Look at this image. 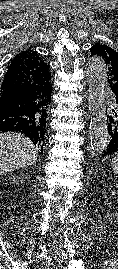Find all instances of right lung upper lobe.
<instances>
[{
    "label": "right lung upper lobe",
    "instance_id": "right-lung-upper-lobe-1",
    "mask_svg": "<svg viewBox=\"0 0 118 269\" xmlns=\"http://www.w3.org/2000/svg\"><path fill=\"white\" fill-rule=\"evenodd\" d=\"M50 66L36 51H23L16 55L5 74L1 91L23 90L37 93L36 124L45 132L48 107L51 103L52 86Z\"/></svg>",
    "mask_w": 118,
    "mask_h": 269
}]
</instances>
